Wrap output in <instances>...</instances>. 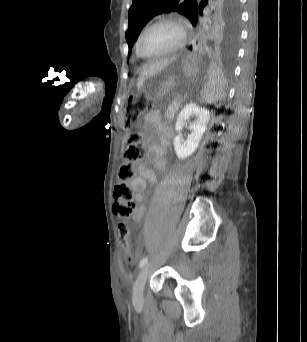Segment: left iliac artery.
<instances>
[{"label": "left iliac artery", "instance_id": "1", "mask_svg": "<svg viewBox=\"0 0 307 342\" xmlns=\"http://www.w3.org/2000/svg\"><path fill=\"white\" fill-rule=\"evenodd\" d=\"M147 262H148V258H147V257H144V258L140 261L139 267H140V268L144 267V266L147 264Z\"/></svg>", "mask_w": 307, "mask_h": 342}]
</instances>
